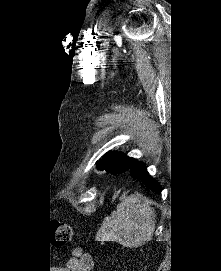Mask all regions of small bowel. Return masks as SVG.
<instances>
[{
	"instance_id": "1",
	"label": "small bowel",
	"mask_w": 221,
	"mask_h": 271,
	"mask_svg": "<svg viewBox=\"0 0 221 271\" xmlns=\"http://www.w3.org/2000/svg\"><path fill=\"white\" fill-rule=\"evenodd\" d=\"M94 261L89 254L84 253L80 248L73 250V257L67 264L68 271H91Z\"/></svg>"
}]
</instances>
